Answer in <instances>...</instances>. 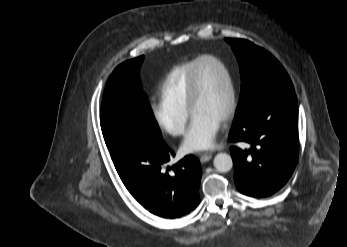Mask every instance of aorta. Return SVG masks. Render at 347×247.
Segmentation results:
<instances>
[{
    "instance_id": "762f6f07",
    "label": "aorta",
    "mask_w": 347,
    "mask_h": 247,
    "mask_svg": "<svg viewBox=\"0 0 347 247\" xmlns=\"http://www.w3.org/2000/svg\"><path fill=\"white\" fill-rule=\"evenodd\" d=\"M214 167L219 172H228L233 167V161L229 154L227 153H218L214 157Z\"/></svg>"
}]
</instances>
